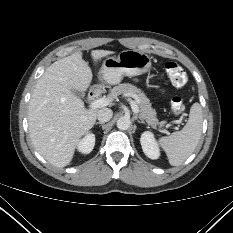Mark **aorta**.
Instances as JSON below:
<instances>
[{"instance_id":"aorta-1","label":"aorta","mask_w":233,"mask_h":233,"mask_svg":"<svg viewBox=\"0 0 233 233\" xmlns=\"http://www.w3.org/2000/svg\"><path fill=\"white\" fill-rule=\"evenodd\" d=\"M131 121L128 117H121L117 120V128L119 130H127L130 127Z\"/></svg>"}]
</instances>
